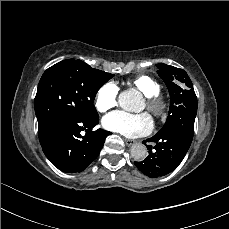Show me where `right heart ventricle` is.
<instances>
[{
    "label": "right heart ventricle",
    "mask_w": 229,
    "mask_h": 229,
    "mask_svg": "<svg viewBox=\"0 0 229 229\" xmlns=\"http://www.w3.org/2000/svg\"><path fill=\"white\" fill-rule=\"evenodd\" d=\"M132 84L145 96L156 95L160 91L158 82L147 75H138L131 80Z\"/></svg>",
    "instance_id": "1"
}]
</instances>
